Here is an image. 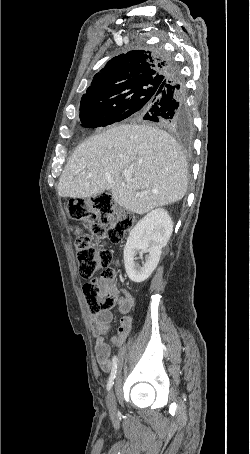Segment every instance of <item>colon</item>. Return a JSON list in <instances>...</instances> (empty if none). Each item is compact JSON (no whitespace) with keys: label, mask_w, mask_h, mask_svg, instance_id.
Returning <instances> with one entry per match:
<instances>
[{"label":"colon","mask_w":250,"mask_h":454,"mask_svg":"<svg viewBox=\"0 0 250 454\" xmlns=\"http://www.w3.org/2000/svg\"><path fill=\"white\" fill-rule=\"evenodd\" d=\"M68 213L80 223L75 228V245L80 275L88 280L83 286L88 308L94 314L109 311L117 301V272L111 266V251L99 245L98 239L105 237L112 243L122 241L133 227L134 219L119 210L108 193L73 200L68 205ZM97 272L99 275L94 278Z\"/></svg>","instance_id":"5ec220e1"}]
</instances>
